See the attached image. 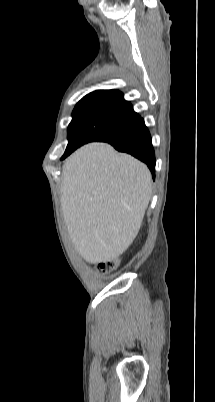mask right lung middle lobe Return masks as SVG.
<instances>
[{"label":"right lung middle lobe","mask_w":215,"mask_h":402,"mask_svg":"<svg viewBox=\"0 0 215 402\" xmlns=\"http://www.w3.org/2000/svg\"><path fill=\"white\" fill-rule=\"evenodd\" d=\"M139 118L129 102L103 95L85 96L73 110L64 156L88 142L115 139Z\"/></svg>","instance_id":"obj_1"}]
</instances>
